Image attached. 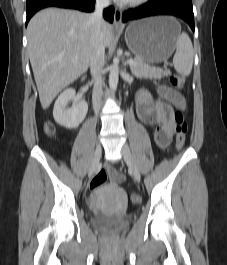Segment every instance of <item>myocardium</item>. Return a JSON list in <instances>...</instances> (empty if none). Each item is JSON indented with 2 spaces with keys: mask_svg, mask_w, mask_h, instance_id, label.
<instances>
[{
  "mask_svg": "<svg viewBox=\"0 0 227 265\" xmlns=\"http://www.w3.org/2000/svg\"><path fill=\"white\" fill-rule=\"evenodd\" d=\"M148 0H128L126 2H123L125 5L130 6V7H136L140 6L144 3H146Z\"/></svg>",
  "mask_w": 227,
  "mask_h": 265,
  "instance_id": "obj_1",
  "label": "myocardium"
}]
</instances>
